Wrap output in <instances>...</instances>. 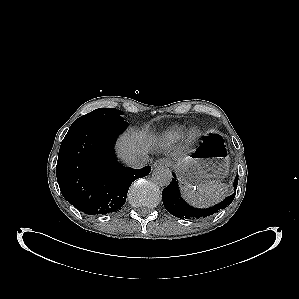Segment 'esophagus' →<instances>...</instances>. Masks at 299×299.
Instances as JSON below:
<instances>
[{
  "label": "esophagus",
  "mask_w": 299,
  "mask_h": 299,
  "mask_svg": "<svg viewBox=\"0 0 299 299\" xmlns=\"http://www.w3.org/2000/svg\"><path fill=\"white\" fill-rule=\"evenodd\" d=\"M170 165V161L166 158L158 159L154 162L153 167H167Z\"/></svg>",
  "instance_id": "obj_1"
}]
</instances>
